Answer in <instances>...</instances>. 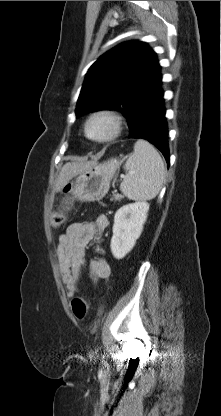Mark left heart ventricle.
Segmentation results:
<instances>
[{
    "label": "left heart ventricle",
    "mask_w": 221,
    "mask_h": 416,
    "mask_svg": "<svg viewBox=\"0 0 221 416\" xmlns=\"http://www.w3.org/2000/svg\"><path fill=\"white\" fill-rule=\"evenodd\" d=\"M109 129V124L106 120L103 119H98L95 120L91 125H90V133L93 136H102L104 135Z\"/></svg>",
    "instance_id": "1"
}]
</instances>
